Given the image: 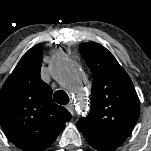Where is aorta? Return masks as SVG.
Returning <instances> with one entry per match:
<instances>
[{"label":"aorta","instance_id":"obj_1","mask_svg":"<svg viewBox=\"0 0 151 151\" xmlns=\"http://www.w3.org/2000/svg\"><path fill=\"white\" fill-rule=\"evenodd\" d=\"M78 71L76 64L64 57H58L52 65V73L56 77H70L73 76ZM80 107L82 110H86L85 98L79 96Z\"/></svg>","mask_w":151,"mask_h":151}]
</instances>
